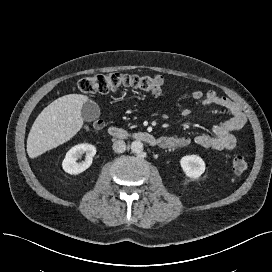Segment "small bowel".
<instances>
[{
	"label": "small bowel",
	"mask_w": 272,
	"mask_h": 272,
	"mask_svg": "<svg viewBox=\"0 0 272 272\" xmlns=\"http://www.w3.org/2000/svg\"><path fill=\"white\" fill-rule=\"evenodd\" d=\"M191 98L194 104L217 106L225 109L230 114V118L216 125L212 134L203 133L193 137L161 136L158 139L159 146L162 148H179L195 144L213 150L234 149L237 145L234 132L242 129L247 123V116L238 104L213 90L204 93L199 89H195L191 92ZM191 113V107L181 110V115L185 118L189 117Z\"/></svg>",
	"instance_id": "obj_1"
}]
</instances>
